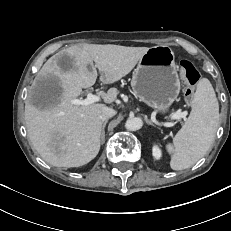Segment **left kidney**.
<instances>
[{
	"label": "left kidney",
	"instance_id": "1",
	"mask_svg": "<svg viewBox=\"0 0 231 231\" xmlns=\"http://www.w3.org/2000/svg\"><path fill=\"white\" fill-rule=\"evenodd\" d=\"M152 155L156 160H159L161 158L162 152H161V149L157 145L153 146Z\"/></svg>",
	"mask_w": 231,
	"mask_h": 231
}]
</instances>
